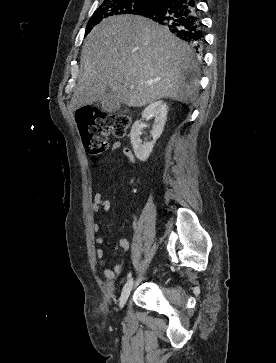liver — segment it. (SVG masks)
Returning <instances> with one entry per match:
<instances>
[{
    "instance_id": "1",
    "label": "liver",
    "mask_w": 276,
    "mask_h": 363,
    "mask_svg": "<svg viewBox=\"0 0 276 363\" xmlns=\"http://www.w3.org/2000/svg\"><path fill=\"white\" fill-rule=\"evenodd\" d=\"M81 60L73 111L99 101L108 88L129 107L162 98L190 103L198 95V60L190 45L141 16L103 20L86 37Z\"/></svg>"
}]
</instances>
